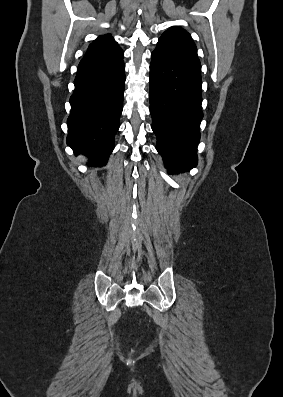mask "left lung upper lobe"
<instances>
[{
    "instance_id": "left-lung-upper-lobe-1",
    "label": "left lung upper lobe",
    "mask_w": 283,
    "mask_h": 397,
    "mask_svg": "<svg viewBox=\"0 0 283 397\" xmlns=\"http://www.w3.org/2000/svg\"><path fill=\"white\" fill-rule=\"evenodd\" d=\"M158 44H161L188 62L201 68L200 60L197 56V48L190 34L180 27H172L165 31L159 38Z\"/></svg>"
}]
</instances>
